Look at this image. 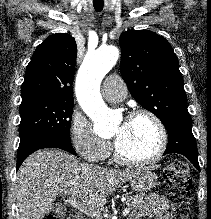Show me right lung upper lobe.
Listing matches in <instances>:
<instances>
[{
  "label": "right lung upper lobe",
  "instance_id": "right-lung-upper-lobe-1",
  "mask_svg": "<svg viewBox=\"0 0 211 219\" xmlns=\"http://www.w3.org/2000/svg\"><path fill=\"white\" fill-rule=\"evenodd\" d=\"M77 45L67 33H56L40 44L27 66L21 86L22 101L53 98L73 101Z\"/></svg>",
  "mask_w": 211,
  "mask_h": 219
}]
</instances>
